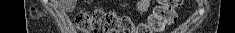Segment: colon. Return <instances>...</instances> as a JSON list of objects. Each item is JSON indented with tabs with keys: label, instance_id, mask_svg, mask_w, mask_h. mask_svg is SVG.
<instances>
[{
	"label": "colon",
	"instance_id": "1",
	"mask_svg": "<svg viewBox=\"0 0 235 33\" xmlns=\"http://www.w3.org/2000/svg\"><path fill=\"white\" fill-rule=\"evenodd\" d=\"M180 0H162L153 9L147 22L135 25L127 16L95 10L76 17L77 28L84 33H161L176 20L175 8Z\"/></svg>",
	"mask_w": 235,
	"mask_h": 33
}]
</instances>
